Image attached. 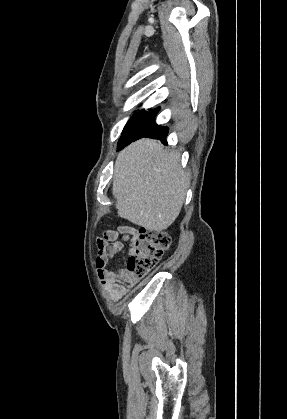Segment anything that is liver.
<instances>
[{
    "label": "liver",
    "instance_id": "6515ba94",
    "mask_svg": "<svg viewBox=\"0 0 287 419\" xmlns=\"http://www.w3.org/2000/svg\"><path fill=\"white\" fill-rule=\"evenodd\" d=\"M189 185L180 155L156 140L140 139L117 156L112 193L118 216L161 232L178 217Z\"/></svg>",
    "mask_w": 287,
    "mask_h": 419
}]
</instances>
